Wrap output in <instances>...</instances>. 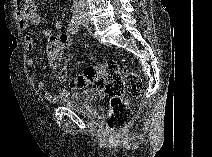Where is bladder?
Instances as JSON below:
<instances>
[{
  "label": "bladder",
  "mask_w": 212,
  "mask_h": 157,
  "mask_svg": "<svg viewBox=\"0 0 212 157\" xmlns=\"http://www.w3.org/2000/svg\"><path fill=\"white\" fill-rule=\"evenodd\" d=\"M105 98V93L99 90L83 89L71 93L64 102V106L72 111L94 118L101 112Z\"/></svg>",
  "instance_id": "bladder-1"
}]
</instances>
